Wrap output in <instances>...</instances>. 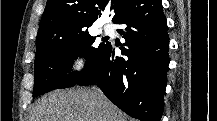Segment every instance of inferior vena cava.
<instances>
[{"label": "inferior vena cava", "instance_id": "inferior-vena-cava-1", "mask_svg": "<svg viewBox=\"0 0 217 121\" xmlns=\"http://www.w3.org/2000/svg\"><path fill=\"white\" fill-rule=\"evenodd\" d=\"M98 94H99V96H102V95H103L100 90H98Z\"/></svg>", "mask_w": 217, "mask_h": 121}]
</instances>
